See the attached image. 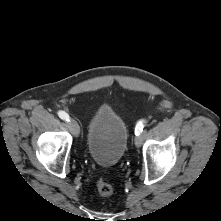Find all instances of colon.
I'll list each match as a JSON object with an SVG mask.
<instances>
[{
	"mask_svg": "<svg viewBox=\"0 0 221 221\" xmlns=\"http://www.w3.org/2000/svg\"><path fill=\"white\" fill-rule=\"evenodd\" d=\"M96 189L101 196H110L114 193V186L104 179H99L96 183Z\"/></svg>",
	"mask_w": 221,
	"mask_h": 221,
	"instance_id": "5ec220e1",
	"label": "colon"
}]
</instances>
